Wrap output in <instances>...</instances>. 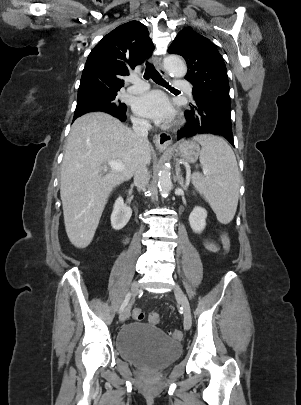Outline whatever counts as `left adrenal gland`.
<instances>
[{
	"label": "left adrenal gland",
	"instance_id": "a2214340",
	"mask_svg": "<svg viewBox=\"0 0 301 405\" xmlns=\"http://www.w3.org/2000/svg\"><path fill=\"white\" fill-rule=\"evenodd\" d=\"M175 180L179 183V185H180L181 187H185V185H184V180H183L182 175H181V169H180L179 166H176V177H175Z\"/></svg>",
	"mask_w": 301,
	"mask_h": 405
}]
</instances>
